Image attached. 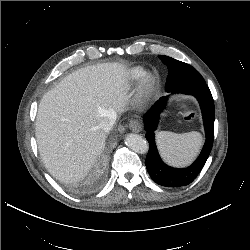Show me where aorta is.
Wrapping results in <instances>:
<instances>
[{"instance_id":"762f6f07","label":"aorta","mask_w":250,"mask_h":250,"mask_svg":"<svg viewBox=\"0 0 250 250\" xmlns=\"http://www.w3.org/2000/svg\"><path fill=\"white\" fill-rule=\"evenodd\" d=\"M125 144L134 152L144 154L148 151V142L138 134L130 133L125 137Z\"/></svg>"}]
</instances>
